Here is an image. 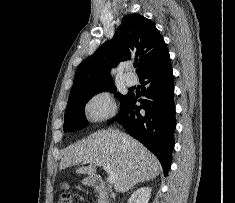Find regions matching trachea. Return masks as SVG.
Segmentation results:
<instances>
[{
    "mask_svg": "<svg viewBox=\"0 0 235 203\" xmlns=\"http://www.w3.org/2000/svg\"><path fill=\"white\" fill-rule=\"evenodd\" d=\"M138 66V64H134V67L136 68Z\"/></svg>",
    "mask_w": 235,
    "mask_h": 203,
    "instance_id": "obj_1",
    "label": "trachea"
}]
</instances>
